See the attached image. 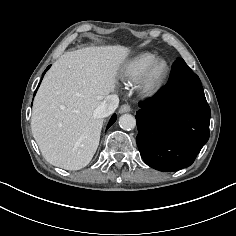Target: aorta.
<instances>
[{"label": "aorta", "mask_w": 236, "mask_h": 236, "mask_svg": "<svg viewBox=\"0 0 236 236\" xmlns=\"http://www.w3.org/2000/svg\"><path fill=\"white\" fill-rule=\"evenodd\" d=\"M119 125L124 130H131L136 126V119L131 114H124L119 118Z\"/></svg>", "instance_id": "obj_1"}]
</instances>
